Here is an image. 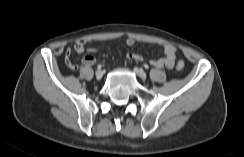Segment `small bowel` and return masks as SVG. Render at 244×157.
Returning <instances> with one entry per match:
<instances>
[{
	"label": "small bowel",
	"instance_id": "small-bowel-1",
	"mask_svg": "<svg viewBox=\"0 0 244 157\" xmlns=\"http://www.w3.org/2000/svg\"><path fill=\"white\" fill-rule=\"evenodd\" d=\"M87 40L85 39H79L77 40L72 49L68 48L66 50V56H65V62L66 65L72 69V70H76L78 68V66L76 64H74L71 61V56L73 54V52L75 53H83L87 44ZM126 44L128 46H133L135 44V39L133 38H128L126 40ZM163 52H164V57L158 59V60H150L149 63L150 65L156 67V68H172L175 64L176 58H177V51L176 48L170 44H164L162 46ZM89 52H94L95 49L94 48H89L88 49ZM127 58L130 60H134V61H141L142 57L137 54V53H133L130 52L127 54ZM96 62V59L93 55H85L82 59V63L86 66H91Z\"/></svg>",
	"mask_w": 244,
	"mask_h": 157
}]
</instances>
